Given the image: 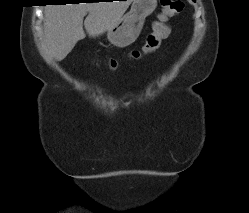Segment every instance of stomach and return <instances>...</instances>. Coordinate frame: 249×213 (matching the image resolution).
<instances>
[{"instance_id":"1","label":"stomach","mask_w":249,"mask_h":213,"mask_svg":"<svg viewBox=\"0 0 249 213\" xmlns=\"http://www.w3.org/2000/svg\"><path fill=\"white\" fill-rule=\"evenodd\" d=\"M157 7V0H133L131 9L112 28L107 30L108 40L117 47L132 44L139 36L145 18Z\"/></svg>"}]
</instances>
